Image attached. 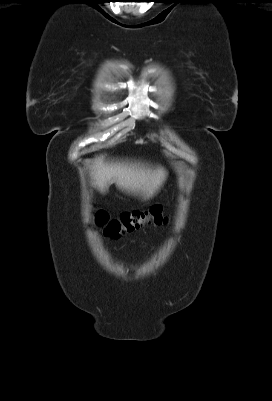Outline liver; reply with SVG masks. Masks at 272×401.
<instances>
[{"mask_svg":"<svg viewBox=\"0 0 272 401\" xmlns=\"http://www.w3.org/2000/svg\"><path fill=\"white\" fill-rule=\"evenodd\" d=\"M167 172L162 167L151 168L137 163L105 162L99 157L93 167V183L101 192H106L113 183L119 189L140 194L145 199L152 197L163 184Z\"/></svg>","mask_w":272,"mask_h":401,"instance_id":"6515ba94","label":"liver"}]
</instances>
